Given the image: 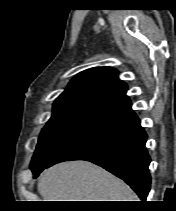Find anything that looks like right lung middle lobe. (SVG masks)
<instances>
[{
    "label": "right lung middle lobe",
    "mask_w": 176,
    "mask_h": 211,
    "mask_svg": "<svg viewBox=\"0 0 176 211\" xmlns=\"http://www.w3.org/2000/svg\"><path fill=\"white\" fill-rule=\"evenodd\" d=\"M97 124L69 117L52 116L39 137L31 162L32 171L48 164L59 152Z\"/></svg>",
    "instance_id": "dd1d6c3e"
}]
</instances>
